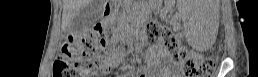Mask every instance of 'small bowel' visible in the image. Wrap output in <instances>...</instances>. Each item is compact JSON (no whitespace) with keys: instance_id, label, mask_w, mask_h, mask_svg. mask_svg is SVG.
I'll return each instance as SVG.
<instances>
[{"instance_id":"small-bowel-1","label":"small bowel","mask_w":258,"mask_h":77,"mask_svg":"<svg viewBox=\"0 0 258 77\" xmlns=\"http://www.w3.org/2000/svg\"><path fill=\"white\" fill-rule=\"evenodd\" d=\"M158 54L153 52L150 56V65L145 69V73H149L155 68V61ZM122 59V54L119 52H114L101 59L100 71L96 74L97 76H104L117 67Z\"/></svg>"}]
</instances>
